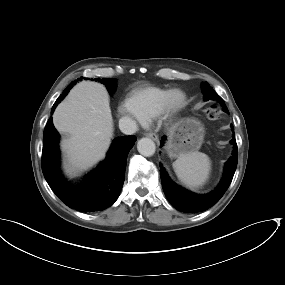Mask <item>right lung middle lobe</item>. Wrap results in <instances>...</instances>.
<instances>
[{
    "label": "right lung middle lobe",
    "mask_w": 285,
    "mask_h": 285,
    "mask_svg": "<svg viewBox=\"0 0 285 285\" xmlns=\"http://www.w3.org/2000/svg\"><path fill=\"white\" fill-rule=\"evenodd\" d=\"M82 78V77H81ZM85 79V78H84ZM80 79L78 80H75L73 82L70 83L71 84H74L75 82L79 81ZM96 81H99L101 83H104L107 87V89L110 91V92H113L115 90V86H116V80L114 78H104V79H100L98 78ZM69 85V86H70Z\"/></svg>",
    "instance_id": "1"
}]
</instances>
